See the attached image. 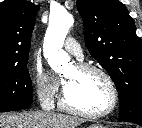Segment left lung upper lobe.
<instances>
[{"instance_id": "obj_1", "label": "left lung upper lobe", "mask_w": 142, "mask_h": 128, "mask_svg": "<svg viewBox=\"0 0 142 128\" xmlns=\"http://www.w3.org/2000/svg\"><path fill=\"white\" fill-rule=\"evenodd\" d=\"M90 54L109 73L120 101V121H142V47L119 0H77Z\"/></svg>"}]
</instances>
